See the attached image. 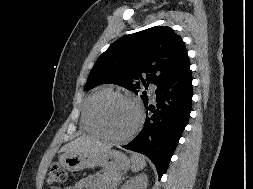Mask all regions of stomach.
I'll list each match as a JSON object with an SVG mask.
<instances>
[{
	"label": "stomach",
	"mask_w": 253,
	"mask_h": 189,
	"mask_svg": "<svg viewBox=\"0 0 253 189\" xmlns=\"http://www.w3.org/2000/svg\"><path fill=\"white\" fill-rule=\"evenodd\" d=\"M60 165L70 171L76 172L85 168L101 166L112 170H127L130 168L129 158L122 152L109 149L100 154L64 153L59 158Z\"/></svg>",
	"instance_id": "0dacf381"
}]
</instances>
